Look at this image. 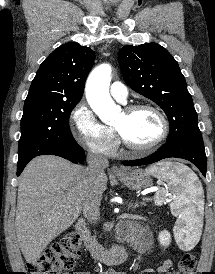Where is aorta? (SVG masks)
<instances>
[{
	"label": "aorta",
	"instance_id": "762f6f07",
	"mask_svg": "<svg viewBox=\"0 0 215 274\" xmlns=\"http://www.w3.org/2000/svg\"><path fill=\"white\" fill-rule=\"evenodd\" d=\"M110 81L111 66L101 64L91 72L86 84V98L89 105L100 120L106 123L116 118L121 110L110 97Z\"/></svg>",
	"mask_w": 215,
	"mask_h": 274
}]
</instances>
